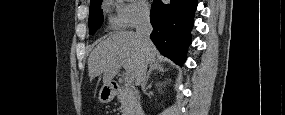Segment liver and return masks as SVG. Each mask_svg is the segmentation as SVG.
<instances>
[{"label":"liver","instance_id":"6515ba94","mask_svg":"<svg viewBox=\"0 0 285 115\" xmlns=\"http://www.w3.org/2000/svg\"><path fill=\"white\" fill-rule=\"evenodd\" d=\"M157 50L153 43L144 46L135 32L117 31L100 42L91 52L88 59L90 81L103 74V84H110L118 74L122 64H126L136 83L140 68L156 62Z\"/></svg>","mask_w":285,"mask_h":115}]
</instances>
